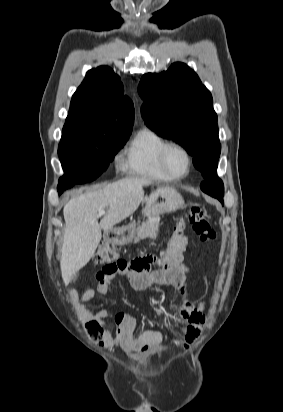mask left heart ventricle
Returning <instances> with one entry per match:
<instances>
[{
  "mask_svg": "<svg viewBox=\"0 0 283 412\" xmlns=\"http://www.w3.org/2000/svg\"><path fill=\"white\" fill-rule=\"evenodd\" d=\"M167 164L172 172L176 174H183L187 170L188 161L182 151L173 149L168 155Z\"/></svg>",
  "mask_w": 283,
  "mask_h": 412,
  "instance_id": "b2bd125f",
  "label": "left heart ventricle"
}]
</instances>
